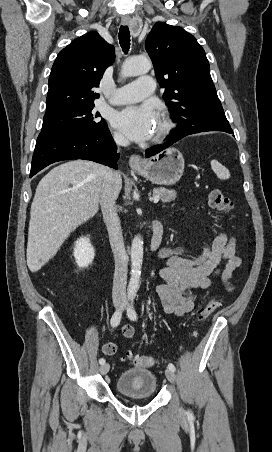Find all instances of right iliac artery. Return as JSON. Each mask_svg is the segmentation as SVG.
Instances as JSON below:
<instances>
[{
    "label": "right iliac artery",
    "instance_id": "obj_1",
    "mask_svg": "<svg viewBox=\"0 0 272 452\" xmlns=\"http://www.w3.org/2000/svg\"><path fill=\"white\" fill-rule=\"evenodd\" d=\"M121 317H122V310L121 309L116 310L114 312L112 318H111V322H110L111 326L112 327H117L119 325V323H120ZM99 363L101 365H103L105 363V359L104 358H100L99 359Z\"/></svg>",
    "mask_w": 272,
    "mask_h": 452
}]
</instances>
